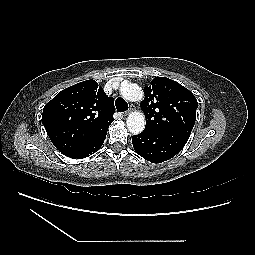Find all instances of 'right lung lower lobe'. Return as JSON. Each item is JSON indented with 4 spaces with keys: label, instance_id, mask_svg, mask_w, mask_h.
<instances>
[{
    "label": "right lung lower lobe",
    "instance_id": "98d812e1",
    "mask_svg": "<svg viewBox=\"0 0 255 255\" xmlns=\"http://www.w3.org/2000/svg\"><path fill=\"white\" fill-rule=\"evenodd\" d=\"M106 133H107V130L94 135L86 143H84L82 145V147L77 152L70 155L69 157L74 158V159L75 158L83 159V158H86V157L94 154L102 146V144L106 138Z\"/></svg>",
    "mask_w": 255,
    "mask_h": 255
}]
</instances>
